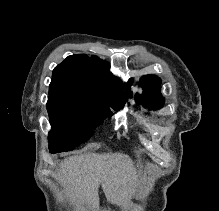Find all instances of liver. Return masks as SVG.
Returning a JSON list of instances; mask_svg holds the SVG:
<instances>
[{
    "label": "liver",
    "instance_id": "liver-1",
    "mask_svg": "<svg viewBox=\"0 0 219 211\" xmlns=\"http://www.w3.org/2000/svg\"><path fill=\"white\" fill-rule=\"evenodd\" d=\"M56 173L59 183L66 187L69 197L85 199L92 209H99V191L101 183L103 191L111 203L126 207L128 197L133 195V183L130 173H134L132 161L124 153H92V155H70L59 165ZM129 171V173H128ZM118 193V195H116Z\"/></svg>",
    "mask_w": 219,
    "mask_h": 211
}]
</instances>
